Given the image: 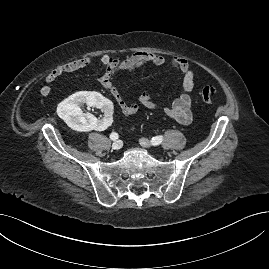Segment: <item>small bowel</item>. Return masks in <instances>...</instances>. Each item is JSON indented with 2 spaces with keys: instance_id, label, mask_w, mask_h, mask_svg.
Returning <instances> with one entry per match:
<instances>
[{
  "instance_id": "c3829d8e",
  "label": "small bowel",
  "mask_w": 269,
  "mask_h": 269,
  "mask_svg": "<svg viewBox=\"0 0 269 269\" xmlns=\"http://www.w3.org/2000/svg\"><path fill=\"white\" fill-rule=\"evenodd\" d=\"M99 61L103 67L100 78L103 88L108 90L114 98L120 111L127 116L138 113L140 106L148 109H159L165 115L182 125H189L193 120L192 107L194 104L195 73L187 59L181 56L168 58L161 54L151 52H136L123 59L113 58L109 54H102ZM92 59L88 56L61 64L51 70L45 77V84L40 93L47 97L51 93V85L58 78L67 73L79 71L91 66ZM157 66L169 65L182 78L181 93L170 105H159L148 92H142L138 96V102H127L116 87L115 78L119 73L134 71L144 65ZM105 130V129H104Z\"/></svg>"
}]
</instances>
